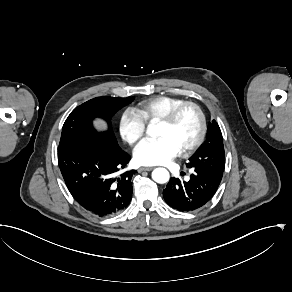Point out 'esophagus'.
Here are the masks:
<instances>
[{
	"label": "esophagus",
	"instance_id": "34e87169",
	"mask_svg": "<svg viewBox=\"0 0 292 292\" xmlns=\"http://www.w3.org/2000/svg\"><path fill=\"white\" fill-rule=\"evenodd\" d=\"M154 167H140L137 171L140 173L142 171H151Z\"/></svg>",
	"mask_w": 292,
	"mask_h": 292
}]
</instances>
